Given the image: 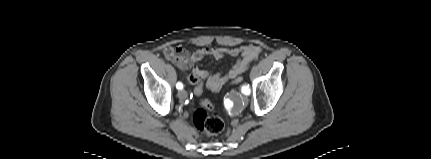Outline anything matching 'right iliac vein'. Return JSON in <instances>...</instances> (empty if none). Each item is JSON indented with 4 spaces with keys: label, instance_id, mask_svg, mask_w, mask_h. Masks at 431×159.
<instances>
[{
    "label": "right iliac vein",
    "instance_id": "obj_1",
    "mask_svg": "<svg viewBox=\"0 0 431 159\" xmlns=\"http://www.w3.org/2000/svg\"><path fill=\"white\" fill-rule=\"evenodd\" d=\"M178 97H179L180 99H185V98L187 97V92H186L185 90H180V91L178 92Z\"/></svg>",
    "mask_w": 431,
    "mask_h": 159
}]
</instances>
